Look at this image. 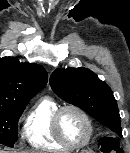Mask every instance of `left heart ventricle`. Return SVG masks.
<instances>
[{
  "label": "left heart ventricle",
  "instance_id": "obj_1",
  "mask_svg": "<svg viewBox=\"0 0 130 153\" xmlns=\"http://www.w3.org/2000/svg\"><path fill=\"white\" fill-rule=\"evenodd\" d=\"M60 128L64 137L73 144L82 143L88 133L85 120L73 110H67L62 114Z\"/></svg>",
  "mask_w": 130,
  "mask_h": 153
}]
</instances>
